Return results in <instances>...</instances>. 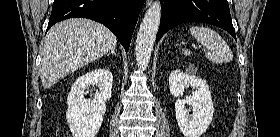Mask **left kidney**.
Segmentation results:
<instances>
[{"mask_svg":"<svg viewBox=\"0 0 280 137\" xmlns=\"http://www.w3.org/2000/svg\"><path fill=\"white\" fill-rule=\"evenodd\" d=\"M196 88L192 96L179 99L187 87ZM170 93L178 98L175 102L176 120L185 137H200L211 124L214 106L207 82L190 72L176 69L169 76ZM192 107V114L185 105Z\"/></svg>","mask_w":280,"mask_h":137,"instance_id":"5707ae66","label":"left kidney"}]
</instances>
